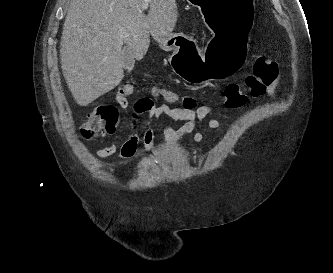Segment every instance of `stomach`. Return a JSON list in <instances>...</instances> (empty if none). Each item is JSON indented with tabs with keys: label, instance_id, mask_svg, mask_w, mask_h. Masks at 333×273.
Wrapping results in <instances>:
<instances>
[{
	"label": "stomach",
	"instance_id": "0dacf381",
	"mask_svg": "<svg viewBox=\"0 0 333 273\" xmlns=\"http://www.w3.org/2000/svg\"><path fill=\"white\" fill-rule=\"evenodd\" d=\"M187 1L199 8L205 28L214 32L215 38H249L257 23V16H253L255 0ZM159 47L174 52L173 70L192 83L230 81V75H239L240 65H247L249 57L248 39H211L203 58H198L192 38L183 33L170 34L159 42Z\"/></svg>",
	"mask_w": 333,
	"mask_h": 273
}]
</instances>
